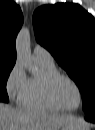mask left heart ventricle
<instances>
[{
  "mask_svg": "<svg viewBox=\"0 0 95 130\" xmlns=\"http://www.w3.org/2000/svg\"><path fill=\"white\" fill-rule=\"evenodd\" d=\"M56 96L67 108L74 109L79 104V93L76 87L67 80H61L56 86Z\"/></svg>",
  "mask_w": 95,
  "mask_h": 130,
  "instance_id": "left-heart-ventricle-1",
  "label": "left heart ventricle"
}]
</instances>
